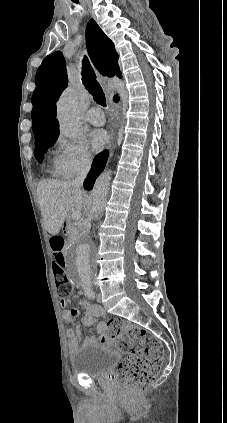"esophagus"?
<instances>
[{"mask_svg":"<svg viewBox=\"0 0 227 423\" xmlns=\"http://www.w3.org/2000/svg\"><path fill=\"white\" fill-rule=\"evenodd\" d=\"M110 116L113 119H116L118 117V106L117 105H115V104L112 105Z\"/></svg>","mask_w":227,"mask_h":423,"instance_id":"34e87169","label":"esophagus"}]
</instances>
